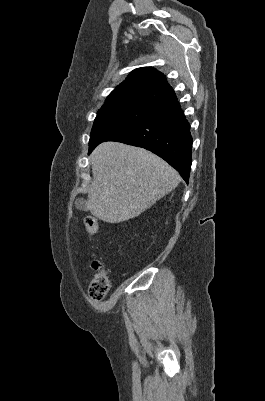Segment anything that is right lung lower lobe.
Returning a JSON list of instances; mask_svg holds the SVG:
<instances>
[{"label":"right lung lower lobe","instance_id":"1","mask_svg":"<svg viewBox=\"0 0 265 401\" xmlns=\"http://www.w3.org/2000/svg\"><path fill=\"white\" fill-rule=\"evenodd\" d=\"M105 141H118L150 150L175 168L188 183L192 136L178 101L118 130ZM95 147L89 149V153Z\"/></svg>","mask_w":265,"mask_h":401}]
</instances>
